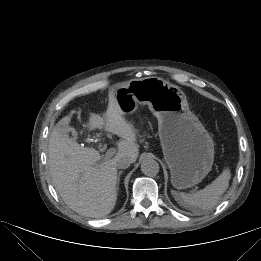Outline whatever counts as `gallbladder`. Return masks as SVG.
Masks as SVG:
<instances>
[{"label": "gallbladder", "mask_w": 261, "mask_h": 261, "mask_svg": "<svg viewBox=\"0 0 261 261\" xmlns=\"http://www.w3.org/2000/svg\"><path fill=\"white\" fill-rule=\"evenodd\" d=\"M62 129L65 130V132L72 131L74 135V130H72L69 126H63Z\"/></svg>", "instance_id": "obj_1"}]
</instances>
